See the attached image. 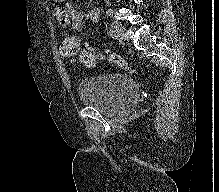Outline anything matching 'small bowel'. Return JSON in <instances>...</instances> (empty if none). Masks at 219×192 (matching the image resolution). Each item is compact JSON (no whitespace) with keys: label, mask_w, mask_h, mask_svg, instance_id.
I'll list each match as a JSON object with an SVG mask.
<instances>
[{"label":"small bowel","mask_w":219,"mask_h":192,"mask_svg":"<svg viewBox=\"0 0 219 192\" xmlns=\"http://www.w3.org/2000/svg\"><path fill=\"white\" fill-rule=\"evenodd\" d=\"M53 13L57 22L61 26H70L72 31H79L84 24L85 19L97 21L100 16V9L93 8L87 13L81 10H77L72 2L67 0H53ZM78 40V46L80 39L75 36ZM100 58V56H99Z\"/></svg>","instance_id":"obj_1"}]
</instances>
